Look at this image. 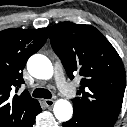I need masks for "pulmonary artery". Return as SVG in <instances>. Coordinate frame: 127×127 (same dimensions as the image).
<instances>
[{"mask_svg":"<svg viewBox=\"0 0 127 127\" xmlns=\"http://www.w3.org/2000/svg\"><path fill=\"white\" fill-rule=\"evenodd\" d=\"M52 73H53L58 89L61 91L62 94L67 95L68 90L64 80L62 66L58 60H56L53 65Z\"/></svg>","mask_w":127,"mask_h":127,"instance_id":"e3ab8cb5","label":"pulmonary artery"}]
</instances>
